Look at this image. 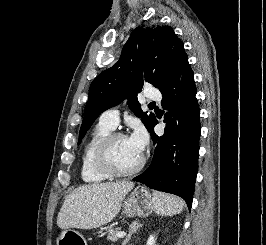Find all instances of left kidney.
<instances>
[{
	"label": "left kidney",
	"mask_w": 266,
	"mask_h": 245,
	"mask_svg": "<svg viewBox=\"0 0 266 245\" xmlns=\"http://www.w3.org/2000/svg\"><path fill=\"white\" fill-rule=\"evenodd\" d=\"M155 241H156V239H155L154 235H150L146 245H155Z\"/></svg>",
	"instance_id": "left-kidney-1"
}]
</instances>
